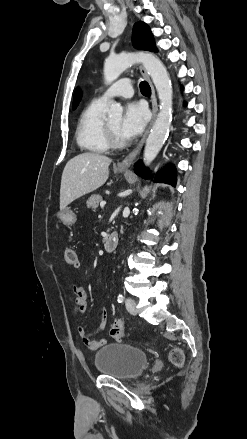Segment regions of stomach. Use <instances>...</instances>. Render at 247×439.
I'll return each mask as SVG.
<instances>
[{
  "mask_svg": "<svg viewBox=\"0 0 247 439\" xmlns=\"http://www.w3.org/2000/svg\"><path fill=\"white\" fill-rule=\"evenodd\" d=\"M119 171L123 172L124 170H119ZM58 216L65 225H73L77 220L76 214L73 213V211H71L70 208H65L61 210L58 213Z\"/></svg>",
  "mask_w": 247,
  "mask_h": 439,
  "instance_id": "stomach-1",
  "label": "stomach"
}]
</instances>
